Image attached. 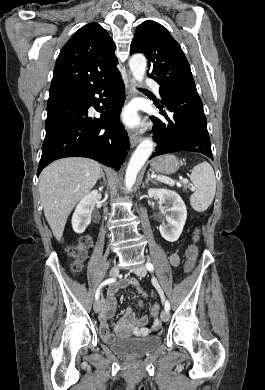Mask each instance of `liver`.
<instances>
[{
    "label": "liver",
    "instance_id": "obj_1",
    "mask_svg": "<svg viewBox=\"0 0 265 390\" xmlns=\"http://www.w3.org/2000/svg\"><path fill=\"white\" fill-rule=\"evenodd\" d=\"M101 165L91 159L72 157L57 160L40 175L39 191L46 220L60 241L75 204L95 186Z\"/></svg>",
    "mask_w": 265,
    "mask_h": 390
}]
</instances>
